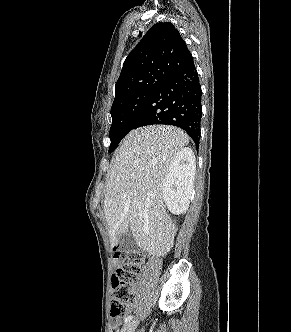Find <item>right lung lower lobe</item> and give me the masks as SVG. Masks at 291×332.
Instances as JSON below:
<instances>
[{
  "mask_svg": "<svg viewBox=\"0 0 291 332\" xmlns=\"http://www.w3.org/2000/svg\"><path fill=\"white\" fill-rule=\"evenodd\" d=\"M202 91L194 62L166 76L134 117L131 130L153 124L185 130L199 146Z\"/></svg>",
  "mask_w": 291,
  "mask_h": 332,
  "instance_id": "98d812e1",
  "label": "right lung lower lobe"
}]
</instances>
